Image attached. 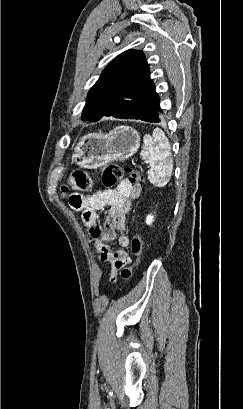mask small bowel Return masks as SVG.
Here are the masks:
<instances>
[{
	"label": "small bowel",
	"mask_w": 243,
	"mask_h": 409,
	"mask_svg": "<svg viewBox=\"0 0 243 409\" xmlns=\"http://www.w3.org/2000/svg\"><path fill=\"white\" fill-rule=\"evenodd\" d=\"M141 193L140 184H131L122 181L113 189L95 192L90 195L74 194L72 197L77 205L72 208L82 211V222L86 228L90 240L94 243L99 259L110 264L108 281L115 283L118 271L133 261L128 253L123 250H113L107 243L117 236L116 230L121 233L118 243L121 247L131 244L129 236L124 232L126 218L131 209V204ZM108 207L106 220L103 224L98 218L97 211Z\"/></svg>",
	"instance_id": "1"
}]
</instances>
